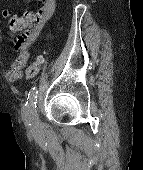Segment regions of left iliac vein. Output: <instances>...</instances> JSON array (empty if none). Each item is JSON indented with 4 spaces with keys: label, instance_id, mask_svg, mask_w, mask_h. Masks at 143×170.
<instances>
[{
    "label": "left iliac vein",
    "instance_id": "1",
    "mask_svg": "<svg viewBox=\"0 0 143 170\" xmlns=\"http://www.w3.org/2000/svg\"><path fill=\"white\" fill-rule=\"evenodd\" d=\"M33 123H35V124H38V121H37V119H35V120L33 121Z\"/></svg>",
    "mask_w": 143,
    "mask_h": 170
}]
</instances>
